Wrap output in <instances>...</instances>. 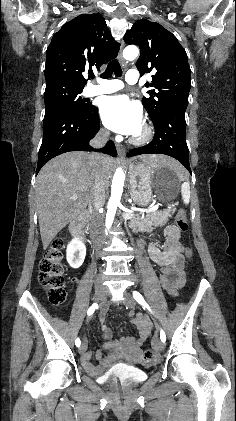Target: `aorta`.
Wrapping results in <instances>:
<instances>
[{"label":"aorta","instance_id":"1","mask_svg":"<svg viewBox=\"0 0 236 421\" xmlns=\"http://www.w3.org/2000/svg\"><path fill=\"white\" fill-rule=\"evenodd\" d=\"M139 54V48L135 46V44H129L123 50L124 58L127 60H134L136 56ZM125 174L122 168H117L113 180H112V188H111V196L108 200L107 208L108 211L106 213V221L105 225L107 229H111L114 221V217L116 215L117 206L120 204L123 186H124Z\"/></svg>","mask_w":236,"mask_h":421}]
</instances>
